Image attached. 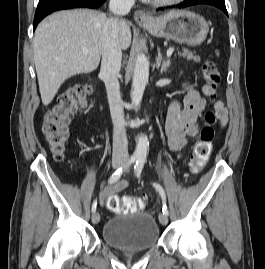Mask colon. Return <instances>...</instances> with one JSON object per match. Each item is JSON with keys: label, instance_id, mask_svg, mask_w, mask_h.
Segmentation results:
<instances>
[{"label": "colon", "instance_id": "obj_1", "mask_svg": "<svg viewBox=\"0 0 265 269\" xmlns=\"http://www.w3.org/2000/svg\"><path fill=\"white\" fill-rule=\"evenodd\" d=\"M202 71L210 88L209 96L214 99L221 83L220 72L212 60H206L203 63ZM90 92V86L73 88L69 92L60 95L44 116L42 132L57 161L64 158L70 121L78 110L86 107L87 97ZM215 122L216 114L213 110V104H211L209 110L205 113L204 124L192 152L190 170L193 174L198 173L210 157L215 138ZM142 207L143 201L137 197L113 195L108 199V208L121 214L137 212Z\"/></svg>", "mask_w": 265, "mask_h": 269}]
</instances>
